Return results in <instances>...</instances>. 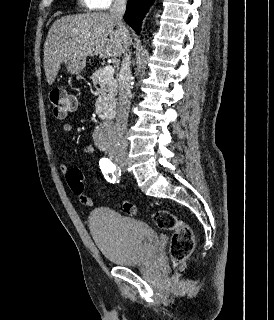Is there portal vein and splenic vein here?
<instances>
[{"label": "portal vein and splenic vein", "instance_id": "18ae733b", "mask_svg": "<svg viewBox=\"0 0 274 320\" xmlns=\"http://www.w3.org/2000/svg\"><path fill=\"white\" fill-rule=\"evenodd\" d=\"M102 74H104V76H107V78H110V76H113V74H114L113 66H106V68H104Z\"/></svg>", "mask_w": 274, "mask_h": 320}]
</instances>
